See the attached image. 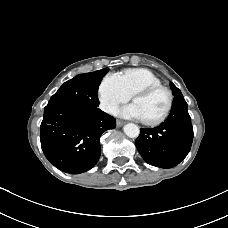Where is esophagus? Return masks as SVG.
<instances>
[{
    "label": "esophagus",
    "mask_w": 228,
    "mask_h": 228,
    "mask_svg": "<svg viewBox=\"0 0 228 228\" xmlns=\"http://www.w3.org/2000/svg\"><path fill=\"white\" fill-rule=\"evenodd\" d=\"M116 124H117L118 127H121L124 124V122L121 121V120H117Z\"/></svg>",
    "instance_id": "esophagus-1"
}]
</instances>
